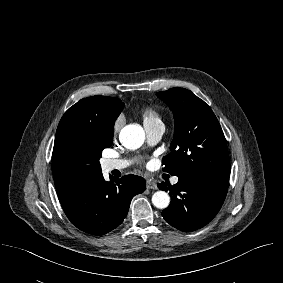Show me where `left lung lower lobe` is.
Here are the masks:
<instances>
[{
  "mask_svg": "<svg viewBox=\"0 0 283 283\" xmlns=\"http://www.w3.org/2000/svg\"><path fill=\"white\" fill-rule=\"evenodd\" d=\"M178 183L158 184L169 191L170 205L162 211L164 219L173 227L190 232L208 224L220 210L228 184H215L188 176H178Z\"/></svg>",
  "mask_w": 283,
  "mask_h": 283,
  "instance_id": "left-lung-lower-lobe-1",
  "label": "left lung lower lobe"
}]
</instances>
